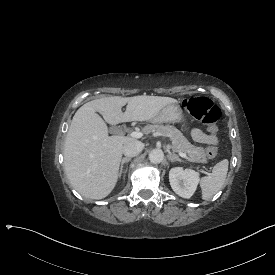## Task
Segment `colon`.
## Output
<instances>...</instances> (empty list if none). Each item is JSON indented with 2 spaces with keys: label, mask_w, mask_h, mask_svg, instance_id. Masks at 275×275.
<instances>
[{
  "label": "colon",
  "mask_w": 275,
  "mask_h": 275,
  "mask_svg": "<svg viewBox=\"0 0 275 275\" xmlns=\"http://www.w3.org/2000/svg\"><path fill=\"white\" fill-rule=\"evenodd\" d=\"M183 110L195 120L203 123L210 137L216 139L217 121L221 116L220 109L207 97H189L182 103ZM206 155L212 159L217 155V147L212 144L206 149Z\"/></svg>",
  "instance_id": "1"
}]
</instances>
